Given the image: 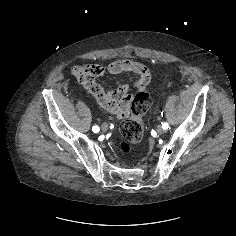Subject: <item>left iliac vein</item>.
<instances>
[{
    "label": "left iliac vein",
    "mask_w": 236,
    "mask_h": 236,
    "mask_svg": "<svg viewBox=\"0 0 236 236\" xmlns=\"http://www.w3.org/2000/svg\"><path fill=\"white\" fill-rule=\"evenodd\" d=\"M163 131H164V129L162 127L157 128V133H162Z\"/></svg>",
    "instance_id": "obj_1"
}]
</instances>
